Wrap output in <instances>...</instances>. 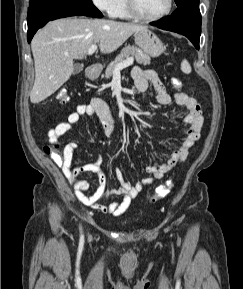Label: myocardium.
<instances>
[{
    "instance_id": "obj_1",
    "label": "myocardium",
    "mask_w": 243,
    "mask_h": 289,
    "mask_svg": "<svg viewBox=\"0 0 243 289\" xmlns=\"http://www.w3.org/2000/svg\"><path fill=\"white\" fill-rule=\"evenodd\" d=\"M126 1V8L127 11L129 12V14L133 17L136 18L138 20H142V21H156V20H160L166 16H168L174 6V0H168V6L167 9L162 12L159 15L156 16H146L143 13L140 12V10L137 7L136 4V0H125Z\"/></svg>"
}]
</instances>
